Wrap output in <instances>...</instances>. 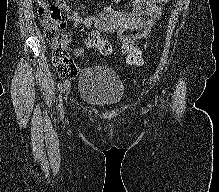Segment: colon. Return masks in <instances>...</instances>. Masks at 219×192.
Instances as JSON below:
<instances>
[{
    "mask_svg": "<svg viewBox=\"0 0 219 192\" xmlns=\"http://www.w3.org/2000/svg\"><path fill=\"white\" fill-rule=\"evenodd\" d=\"M37 16L47 40L52 44V60L59 76L66 80H72L77 76V68L67 49L69 36L60 10L49 0H39ZM96 51L108 55L112 46L105 38L96 40ZM122 51L126 55L129 65H140L143 62L142 53L137 49L130 37L123 40Z\"/></svg>",
    "mask_w": 219,
    "mask_h": 192,
    "instance_id": "1",
    "label": "colon"
}]
</instances>
